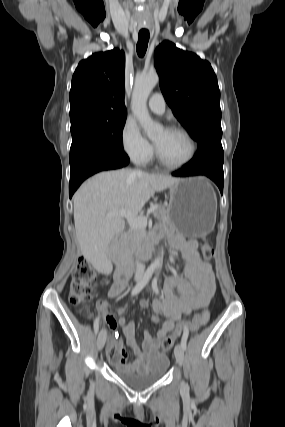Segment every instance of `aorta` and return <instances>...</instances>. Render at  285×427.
<instances>
[{
  "label": "aorta",
  "mask_w": 285,
  "mask_h": 427,
  "mask_svg": "<svg viewBox=\"0 0 285 427\" xmlns=\"http://www.w3.org/2000/svg\"><path fill=\"white\" fill-rule=\"evenodd\" d=\"M158 82L157 73L140 75L136 77L133 89L132 111L149 138L155 137L162 130V126L151 119L147 109V99ZM162 262V256H159L152 263V267L160 268Z\"/></svg>",
  "instance_id": "762f6f07"
}]
</instances>
